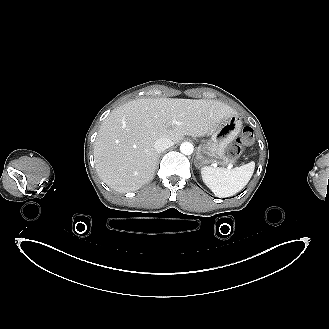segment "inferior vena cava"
I'll use <instances>...</instances> for the list:
<instances>
[{
  "instance_id": "obj_1",
  "label": "inferior vena cava",
  "mask_w": 329,
  "mask_h": 329,
  "mask_svg": "<svg viewBox=\"0 0 329 329\" xmlns=\"http://www.w3.org/2000/svg\"><path fill=\"white\" fill-rule=\"evenodd\" d=\"M173 145H174V142L170 138L161 137L155 142L154 148L158 153H160V152H163L164 150L170 148Z\"/></svg>"
}]
</instances>
